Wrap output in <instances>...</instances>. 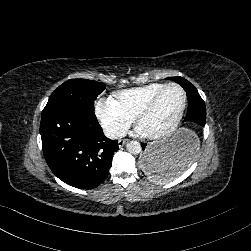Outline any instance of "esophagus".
Here are the masks:
<instances>
[{"mask_svg":"<svg viewBox=\"0 0 251 251\" xmlns=\"http://www.w3.org/2000/svg\"><path fill=\"white\" fill-rule=\"evenodd\" d=\"M125 143H126V139H119L118 140V146H119V148H122Z\"/></svg>","mask_w":251,"mask_h":251,"instance_id":"34e87169","label":"esophagus"}]
</instances>
